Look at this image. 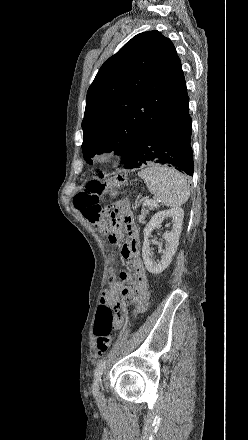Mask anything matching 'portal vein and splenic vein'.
Instances as JSON below:
<instances>
[{
  "label": "portal vein and splenic vein",
  "instance_id": "portal-vein-and-splenic-vein-1",
  "mask_svg": "<svg viewBox=\"0 0 248 440\" xmlns=\"http://www.w3.org/2000/svg\"><path fill=\"white\" fill-rule=\"evenodd\" d=\"M143 205H154L157 206V203L151 199H146L143 203Z\"/></svg>",
  "mask_w": 248,
  "mask_h": 440
}]
</instances>
